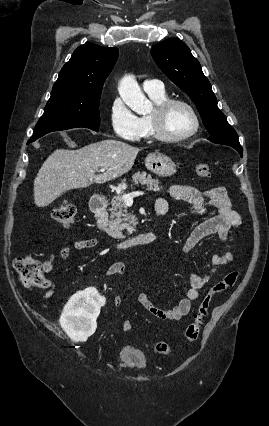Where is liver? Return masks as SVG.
Segmentation results:
<instances>
[{"label":"liver","mask_w":269,"mask_h":426,"mask_svg":"<svg viewBox=\"0 0 269 426\" xmlns=\"http://www.w3.org/2000/svg\"><path fill=\"white\" fill-rule=\"evenodd\" d=\"M139 151L137 147L113 139L78 150H55L34 180L35 205L45 207L68 190L116 179L132 168ZM99 167L105 172L96 175Z\"/></svg>","instance_id":"6515ba94"}]
</instances>
